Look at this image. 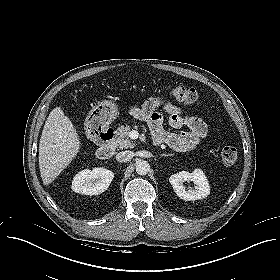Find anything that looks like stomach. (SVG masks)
I'll list each match as a JSON object with an SVG mask.
<instances>
[{"label":"stomach","mask_w":280,"mask_h":280,"mask_svg":"<svg viewBox=\"0 0 280 280\" xmlns=\"http://www.w3.org/2000/svg\"><path fill=\"white\" fill-rule=\"evenodd\" d=\"M118 107L111 101H103L97 105L89 114L86 120V126L90 127L103 118L106 123L112 122L117 116Z\"/></svg>","instance_id":"1"}]
</instances>
